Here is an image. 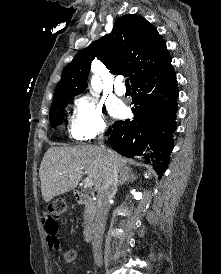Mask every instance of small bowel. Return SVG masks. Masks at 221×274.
Wrapping results in <instances>:
<instances>
[{"label": "small bowel", "mask_w": 221, "mask_h": 274, "mask_svg": "<svg viewBox=\"0 0 221 274\" xmlns=\"http://www.w3.org/2000/svg\"><path fill=\"white\" fill-rule=\"evenodd\" d=\"M42 225L48 247L50 249L60 250L61 244L58 237V224L55 218L48 213L43 214Z\"/></svg>", "instance_id": "c3829d8e"}]
</instances>
